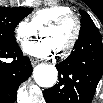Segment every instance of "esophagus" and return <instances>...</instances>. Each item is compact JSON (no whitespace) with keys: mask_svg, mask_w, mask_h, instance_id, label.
<instances>
[{"mask_svg":"<svg viewBox=\"0 0 103 103\" xmlns=\"http://www.w3.org/2000/svg\"><path fill=\"white\" fill-rule=\"evenodd\" d=\"M39 63V60L35 59V58H31V64L33 66L37 65Z\"/></svg>","mask_w":103,"mask_h":103,"instance_id":"1","label":"esophagus"}]
</instances>
